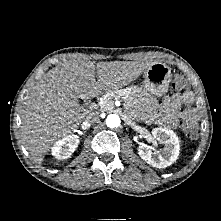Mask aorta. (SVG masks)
Segmentation results:
<instances>
[{
	"instance_id": "aorta-1",
	"label": "aorta",
	"mask_w": 221,
	"mask_h": 221,
	"mask_svg": "<svg viewBox=\"0 0 221 221\" xmlns=\"http://www.w3.org/2000/svg\"><path fill=\"white\" fill-rule=\"evenodd\" d=\"M121 120L117 114H110L106 118V125L109 128H117L120 126Z\"/></svg>"
}]
</instances>
